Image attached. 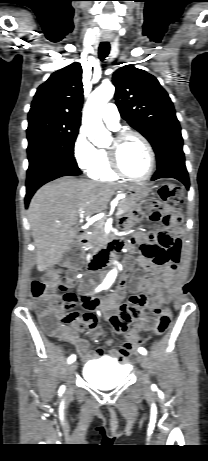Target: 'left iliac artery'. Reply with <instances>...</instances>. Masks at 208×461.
I'll return each instance as SVG.
<instances>
[{"label":"left iliac artery","instance_id":"left-iliac-artery-1","mask_svg":"<svg viewBox=\"0 0 208 461\" xmlns=\"http://www.w3.org/2000/svg\"><path fill=\"white\" fill-rule=\"evenodd\" d=\"M104 289H107V288H104ZM139 352H140L142 355H146V354H147L146 349L143 348V347H140V348H139Z\"/></svg>","mask_w":208,"mask_h":461}]
</instances>
